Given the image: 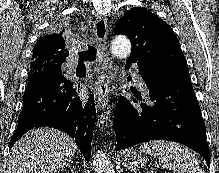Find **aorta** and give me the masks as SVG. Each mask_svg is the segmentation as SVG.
<instances>
[{
  "instance_id": "aorta-1",
  "label": "aorta",
  "mask_w": 219,
  "mask_h": 173,
  "mask_svg": "<svg viewBox=\"0 0 219 173\" xmlns=\"http://www.w3.org/2000/svg\"><path fill=\"white\" fill-rule=\"evenodd\" d=\"M111 53L120 59L129 57L131 53L130 40L123 35L116 36L111 43ZM109 113L110 107L107 108V112L101 114L100 122L97 123V126L105 123ZM92 162L95 173H115L111 160L99 150L94 151L92 154Z\"/></svg>"
}]
</instances>
